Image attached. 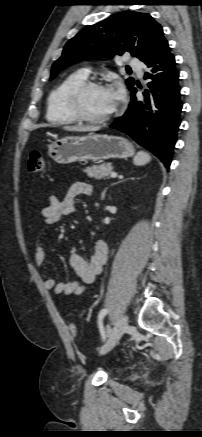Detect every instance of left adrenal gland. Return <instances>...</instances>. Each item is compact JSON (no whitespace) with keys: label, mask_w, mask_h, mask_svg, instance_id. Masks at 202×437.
Masks as SVG:
<instances>
[{"label":"left adrenal gland","mask_w":202,"mask_h":437,"mask_svg":"<svg viewBox=\"0 0 202 437\" xmlns=\"http://www.w3.org/2000/svg\"><path fill=\"white\" fill-rule=\"evenodd\" d=\"M131 179L134 180V178H131ZM114 184H117V183H114ZM114 184H112V185H114ZM105 193H106V190L104 191L103 196L105 195Z\"/></svg>","instance_id":"left-adrenal-gland-1"}]
</instances>
